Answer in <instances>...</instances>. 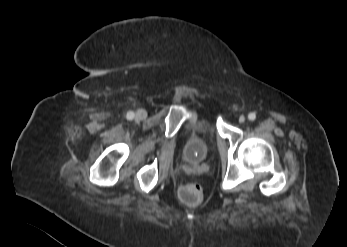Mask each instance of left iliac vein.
Listing matches in <instances>:
<instances>
[{
    "mask_svg": "<svg viewBox=\"0 0 347 247\" xmlns=\"http://www.w3.org/2000/svg\"><path fill=\"white\" fill-rule=\"evenodd\" d=\"M239 122L244 123L245 122V117L242 115L239 117Z\"/></svg>",
    "mask_w": 347,
    "mask_h": 247,
    "instance_id": "obj_1",
    "label": "left iliac vein"
}]
</instances>
